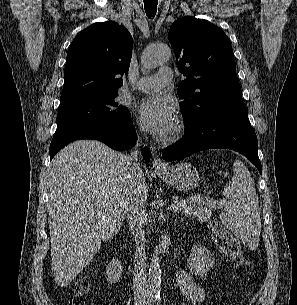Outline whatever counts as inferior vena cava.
I'll return each instance as SVG.
<instances>
[{
	"mask_svg": "<svg viewBox=\"0 0 297 305\" xmlns=\"http://www.w3.org/2000/svg\"><path fill=\"white\" fill-rule=\"evenodd\" d=\"M139 146L134 148L130 155L124 159V165L128 173L129 188L126 197L125 212L127 215L129 230L136 242V252L133 271V291L137 304L147 303L150 300L147 280L146 252H145V231L147 213L144 208V199L140 195L137 182L142 176L139 168L138 156Z\"/></svg>",
	"mask_w": 297,
	"mask_h": 305,
	"instance_id": "1",
	"label": "inferior vena cava"
}]
</instances>
